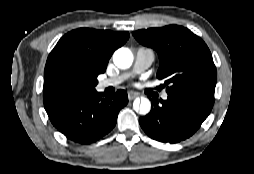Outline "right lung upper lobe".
Here are the masks:
<instances>
[{"label": "right lung upper lobe", "mask_w": 254, "mask_h": 174, "mask_svg": "<svg viewBox=\"0 0 254 174\" xmlns=\"http://www.w3.org/2000/svg\"><path fill=\"white\" fill-rule=\"evenodd\" d=\"M129 39L128 32L79 28L65 34L47 58L44 81L60 68L96 77L104 73L113 52Z\"/></svg>", "instance_id": "cb5924a9"}]
</instances>
